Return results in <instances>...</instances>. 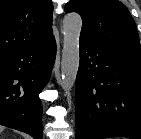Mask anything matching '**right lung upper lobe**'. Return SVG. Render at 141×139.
Here are the masks:
<instances>
[{"label":"right lung upper lobe","mask_w":141,"mask_h":139,"mask_svg":"<svg viewBox=\"0 0 141 139\" xmlns=\"http://www.w3.org/2000/svg\"><path fill=\"white\" fill-rule=\"evenodd\" d=\"M51 0H0V54L50 37Z\"/></svg>","instance_id":"right-lung-upper-lobe-1"}]
</instances>
